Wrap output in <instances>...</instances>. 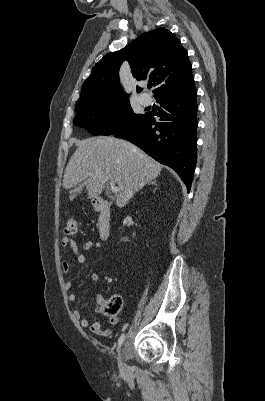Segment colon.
<instances>
[{
    "label": "colon",
    "mask_w": 265,
    "mask_h": 401,
    "mask_svg": "<svg viewBox=\"0 0 265 401\" xmlns=\"http://www.w3.org/2000/svg\"><path fill=\"white\" fill-rule=\"evenodd\" d=\"M78 223L75 219L71 218L66 222L65 233L69 236L77 232ZM100 311L110 317L115 316L122 307V298L119 295H113L107 299H102L99 302Z\"/></svg>",
    "instance_id": "5ec220e1"
}]
</instances>
